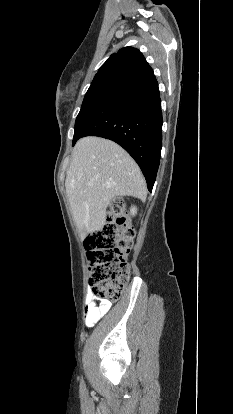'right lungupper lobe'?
Segmentation results:
<instances>
[{
	"instance_id": "1",
	"label": "right lung upper lobe",
	"mask_w": 233,
	"mask_h": 414,
	"mask_svg": "<svg viewBox=\"0 0 233 414\" xmlns=\"http://www.w3.org/2000/svg\"><path fill=\"white\" fill-rule=\"evenodd\" d=\"M152 74L153 70L141 52L132 47H125L107 59L94 79L104 76H119L125 79L136 80Z\"/></svg>"
}]
</instances>
